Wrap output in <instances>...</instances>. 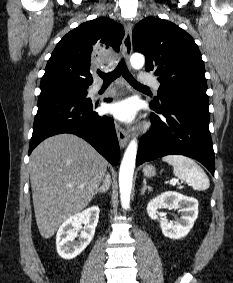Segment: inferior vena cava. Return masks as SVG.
I'll return each instance as SVG.
<instances>
[{"mask_svg":"<svg viewBox=\"0 0 233 283\" xmlns=\"http://www.w3.org/2000/svg\"><path fill=\"white\" fill-rule=\"evenodd\" d=\"M108 176H109V175L106 176L105 180L107 179ZM105 180H104V181H105Z\"/></svg>","mask_w":233,"mask_h":283,"instance_id":"602c4592","label":"inferior vena cava"}]
</instances>
